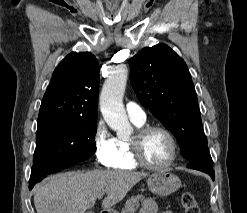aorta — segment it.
Here are the masks:
<instances>
[{
    "mask_svg": "<svg viewBox=\"0 0 247 213\" xmlns=\"http://www.w3.org/2000/svg\"><path fill=\"white\" fill-rule=\"evenodd\" d=\"M127 78V68L117 67L108 76L100 94V109L104 120L119 136H129L132 131L123 105Z\"/></svg>",
    "mask_w": 247,
    "mask_h": 213,
    "instance_id": "1",
    "label": "aorta"
}]
</instances>
